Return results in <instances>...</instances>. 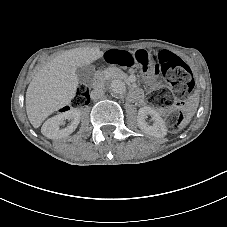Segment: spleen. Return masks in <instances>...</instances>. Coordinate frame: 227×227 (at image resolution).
Returning <instances> with one entry per match:
<instances>
[{
  "instance_id": "spleen-1",
  "label": "spleen",
  "mask_w": 227,
  "mask_h": 227,
  "mask_svg": "<svg viewBox=\"0 0 227 227\" xmlns=\"http://www.w3.org/2000/svg\"><path fill=\"white\" fill-rule=\"evenodd\" d=\"M190 120H191V117L190 116H187L185 119H184V121L181 123V125H180V129H183L189 122H190Z\"/></svg>"
}]
</instances>
